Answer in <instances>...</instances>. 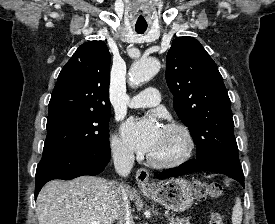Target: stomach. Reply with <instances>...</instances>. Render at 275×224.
Wrapping results in <instances>:
<instances>
[{
	"label": "stomach",
	"mask_w": 275,
	"mask_h": 224,
	"mask_svg": "<svg viewBox=\"0 0 275 224\" xmlns=\"http://www.w3.org/2000/svg\"><path fill=\"white\" fill-rule=\"evenodd\" d=\"M143 192L166 209L183 212L193 204L192 185L183 178H173Z\"/></svg>",
	"instance_id": "stomach-1"
}]
</instances>
